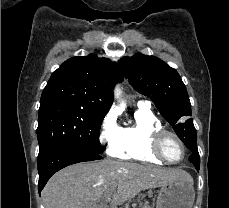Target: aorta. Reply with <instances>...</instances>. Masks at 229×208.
Here are the masks:
<instances>
[{
	"instance_id": "762f6f07",
	"label": "aorta",
	"mask_w": 229,
	"mask_h": 208,
	"mask_svg": "<svg viewBox=\"0 0 229 208\" xmlns=\"http://www.w3.org/2000/svg\"><path fill=\"white\" fill-rule=\"evenodd\" d=\"M122 94H123L122 89L120 88L119 85H117V86L115 87V90H114V98H115L116 100H120L121 97H122Z\"/></svg>"
}]
</instances>
